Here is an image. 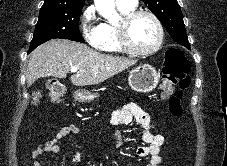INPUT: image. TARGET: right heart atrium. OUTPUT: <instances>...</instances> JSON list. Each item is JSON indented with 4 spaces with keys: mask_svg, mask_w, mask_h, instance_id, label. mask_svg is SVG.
<instances>
[{
    "mask_svg": "<svg viewBox=\"0 0 227 166\" xmlns=\"http://www.w3.org/2000/svg\"><path fill=\"white\" fill-rule=\"evenodd\" d=\"M79 26L84 39L93 47H100L103 40V30L94 5H89L83 10Z\"/></svg>",
    "mask_w": 227,
    "mask_h": 166,
    "instance_id": "right-heart-atrium-1",
    "label": "right heart atrium"
}]
</instances>
